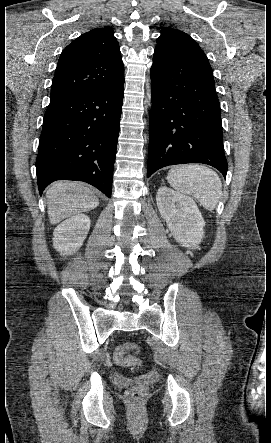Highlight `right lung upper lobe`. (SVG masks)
Segmentation results:
<instances>
[{
	"instance_id": "right-lung-upper-lobe-1",
	"label": "right lung upper lobe",
	"mask_w": 271,
	"mask_h": 443,
	"mask_svg": "<svg viewBox=\"0 0 271 443\" xmlns=\"http://www.w3.org/2000/svg\"><path fill=\"white\" fill-rule=\"evenodd\" d=\"M109 27L92 29L68 45L60 55L51 98L113 87L124 81L119 44Z\"/></svg>"
}]
</instances>
